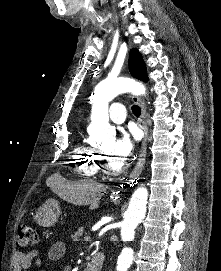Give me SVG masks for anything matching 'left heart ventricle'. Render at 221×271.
Here are the masks:
<instances>
[{"label":"left heart ventricle","instance_id":"b2bd125f","mask_svg":"<svg viewBox=\"0 0 221 271\" xmlns=\"http://www.w3.org/2000/svg\"><path fill=\"white\" fill-rule=\"evenodd\" d=\"M107 165H110V168H121L119 160H107Z\"/></svg>","mask_w":221,"mask_h":271}]
</instances>
